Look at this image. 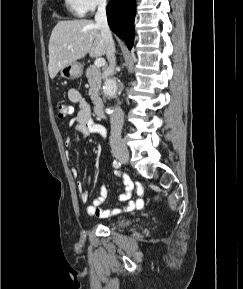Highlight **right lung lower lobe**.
I'll use <instances>...</instances> for the list:
<instances>
[{"label":"right lung lower lobe","mask_w":243,"mask_h":289,"mask_svg":"<svg viewBox=\"0 0 243 289\" xmlns=\"http://www.w3.org/2000/svg\"><path fill=\"white\" fill-rule=\"evenodd\" d=\"M106 11L111 30L131 49L135 34L136 0H110Z\"/></svg>","instance_id":"98d812e1"}]
</instances>
